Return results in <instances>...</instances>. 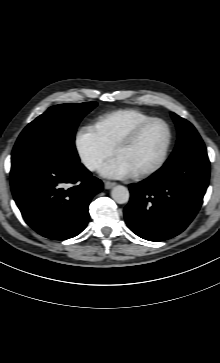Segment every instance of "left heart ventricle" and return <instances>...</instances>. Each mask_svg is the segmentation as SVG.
Returning <instances> with one entry per match:
<instances>
[{
  "label": "left heart ventricle",
  "instance_id": "left-heart-ventricle-1",
  "mask_svg": "<svg viewBox=\"0 0 220 363\" xmlns=\"http://www.w3.org/2000/svg\"><path fill=\"white\" fill-rule=\"evenodd\" d=\"M167 141V131L163 124L148 126L130 145L120 149L117 156L138 172L153 166L160 158Z\"/></svg>",
  "mask_w": 220,
  "mask_h": 363
}]
</instances>
